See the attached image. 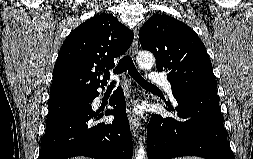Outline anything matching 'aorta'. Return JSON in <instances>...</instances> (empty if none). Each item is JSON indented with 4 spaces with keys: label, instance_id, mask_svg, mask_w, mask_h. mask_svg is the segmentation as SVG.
I'll return each mask as SVG.
<instances>
[{
    "label": "aorta",
    "instance_id": "1",
    "mask_svg": "<svg viewBox=\"0 0 253 159\" xmlns=\"http://www.w3.org/2000/svg\"><path fill=\"white\" fill-rule=\"evenodd\" d=\"M137 61L141 68L145 70H150L154 66L155 58L149 52H140L137 56ZM143 140V138L139 139V146L135 150V159H147L146 148L144 146Z\"/></svg>",
    "mask_w": 253,
    "mask_h": 159
}]
</instances>
